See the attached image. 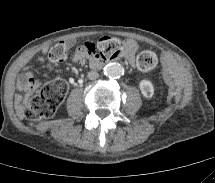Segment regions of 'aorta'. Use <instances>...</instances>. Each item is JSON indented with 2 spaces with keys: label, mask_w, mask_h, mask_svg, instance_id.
I'll return each mask as SVG.
<instances>
[{
  "label": "aorta",
  "mask_w": 215,
  "mask_h": 183,
  "mask_svg": "<svg viewBox=\"0 0 215 183\" xmlns=\"http://www.w3.org/2000/svg\"><path fill=\"white\" fill-rule=\"evenodd\" d=\"M103 70L104 74L111 78H118L124 74V68L118 63H110Z\"/></svg>",
  "instance_id": "1"
}]
</instances>
